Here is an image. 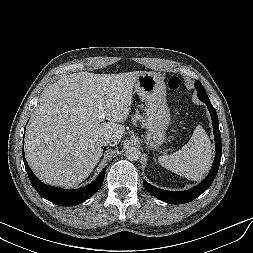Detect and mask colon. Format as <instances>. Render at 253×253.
<instances>
[{"mask_svg":"<svg viewBox=\"0 0 253 253\" xmlns=\"http://www.w3.org/2000/svg\"><path fill=\"white\" fill-rule=\"evenodd\" d=\"M181 81L177 77H171L168 81V86L171 90H177L180 87Z\"/></svg>","mask_w":253,"mask_h":253,"instance_id":"colon-1","label":"colon"}]
</instances>
